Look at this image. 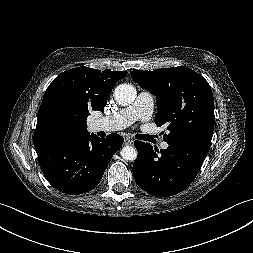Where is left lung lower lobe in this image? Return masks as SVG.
<instances>
[{"mask_svg":"<svg viewBox=\"0 0 253 253\" xmlns=\"http://www.w3.org/2000/svg\"><path fill=\"white\" fill-rule=\"evenodd\" d=\"M138 156L133 164L136 183L157 197L172 196L185 190L195 179L211 143L191 140L168 144L167 149L135 141Z\"/></svg>","mask_w":253,"mask_h":253,"instance_id":"1","label":"left lung lower lobe"}]
</instances>
